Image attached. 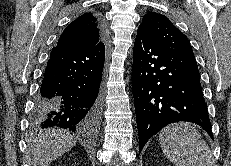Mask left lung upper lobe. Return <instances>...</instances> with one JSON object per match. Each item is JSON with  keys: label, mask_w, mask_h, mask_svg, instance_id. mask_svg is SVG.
Wrapping results in <instances>:
<instances>
[{"label": "left lung upper lobe", "mask_w": 231, "mask_h": 166, "mask_svg": "<svg viewBox=\"0 0 231 166\" xmlns=\"http://www.w3.org/2000/svg\"><path fill=\"white\" fill-rule=\"evenodd\" d=\"M138 30L161 45L193 52L188 38L162 14L148 12Z\"/></svg>", "instance_id": "left-lung-upper-lobe-1"}]
</instances>
